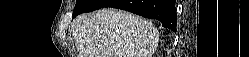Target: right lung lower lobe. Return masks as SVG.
Here are the masks:
<instances>
[{
    "label": "right lung lower lobe",
    "mask_w": 249,
    "mask_h": 57,
    "mask_svg": "<svg viewBox=\"0 0 249 57\" xmlns=\"http://www.w3.org/2000/svg\"><path fill=\"white\" fill-rule=\"evenodd\" d=\"M103 7L119 8L146 18L157 19L163 27L176 30L175 0H91L86 8L74 11L73 17Z\"/></svg>",
    "instance_id": "obj_1"
}]
</instances>
